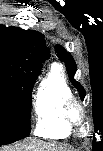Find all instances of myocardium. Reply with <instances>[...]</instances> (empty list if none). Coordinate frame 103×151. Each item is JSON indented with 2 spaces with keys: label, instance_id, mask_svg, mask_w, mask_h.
Here are the masks:
<instances>
[{
  "label": "myocardium",
  "instance_id": "myocardium-1",
  "mask_svg": "<svg viewBox=\"0 0 103 151\" xmlns=\"http://www.w3.org/2000/svg\"><path fill=\"white\" fill-rule=\"evenodd\" d=\"M74 112H78L79 116L75 117ZM63 119L72 127H81L85 123L86 112L81 103L73 96L67 98L63 104Z\"/></svg>",
  "mask_w": 103,
  "mask_h": 151
}]
</instances>
